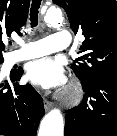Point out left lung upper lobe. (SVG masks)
I'll return each mask as SVG.
<instances>
[{"instance_id": "left-lung-upper-lobe-1", "label": "left lung upper lobe", "mask_w": 117, "mask_h": 136, "mask_svg": "<svg viewBox=\"0 0 117 136\" xmlns=\"http://www.w3.org/2000/svg\"><path fill=\"white\" fill-rule=\"evenodd\" d=\"M67 13L71 29L82 33L83 56L72 69L82 85L98 75L117 71V2L116 0H53Z\"/></svg>"}]
</instances>
